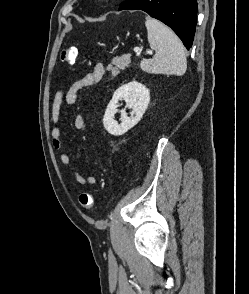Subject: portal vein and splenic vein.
I'll return each mask as SVG.
<instances>
[{"instance_id":"18ae733b","label":"portal vein and splenic vein","mask_w":249,"mask_h":294,"mask_svg":"<svg viewBox=\"0 0 249 294\" xmlns=\"http://www.w3.org/2000/svg\"><path fill=\"white\" fill-rule=\"evenodd\" d=\"M134 52L136 53V55H139L140 54V52H141V49H139V48H136V49H134ZM149 55H152L153 54V52L152 51H148L147 52Z\"/></svg>"}]
</instances>
